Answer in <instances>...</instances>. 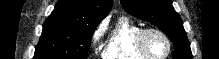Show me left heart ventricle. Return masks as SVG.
<instances>
[{"label": "left heart ventricle", "instance_id": "1", "mask_svg": "<svg viewBox=\"0 0 219 59\" xmlns=\"http://www.w3.org/2000/svg\"><path fill=\"white\" fill-rule=\"evenodd\" d=\"M146 47L154 56H162L167 50L165 40L158 34H150L146 38Z\"/></svg>", "mask_w": 219, "mask_h": 59}]
</instances>
